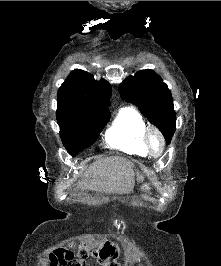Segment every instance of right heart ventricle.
Masks as SVG:
<instances>
[{"instance_id":"obj_1","label":"right heart ventricle","mask_w":221,"mask_h":266,"mask_svg":"<svg viewBox=\"0 0 221 266\" xmlns=\"http://www.w3.org/2000/svg\"><path fill=\"white\" fill-rule=\"evenodd\" d=\"M143 116L133 108H123L105 134L108 146L128 154L148 156L144 136L147 130Z\"/></svg>"}]
</instances>
